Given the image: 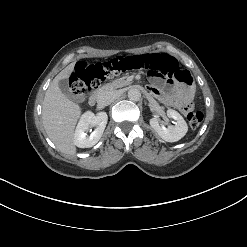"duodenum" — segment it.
I'll use <instances>...</instances> for the list:
<instances>
[{
	"label": "duodenum",
	"mask_w": 247,
	"mask_h": 247,
	"mask_svg": "<svg viewBox=\"0 0 247 247\" xmlns=\"http://www.w3.org/2000/svg\"><path fill=\"white\" fill-rule=\"evenodd\" d=\"M101 102V91L100 90H95L91 93L89 97V103L91 105H98Z\"/></svg>",
	"instance_id": "obj_1"
}]
</instances>
